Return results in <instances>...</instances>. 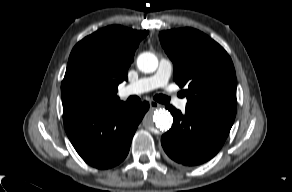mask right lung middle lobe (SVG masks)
<instances>
[{
    "mask_svg": "<svg viewBox=\"0 0 292 192\" xmlns=\"http://www.w3.org/2000/svg\"><path fill=\"white\" fill-rule=\"evenodd\" d=\"M98 93L97 85L83 76L72 79L67 88L68 100L77 107L89 105Z\"/></svg>",
    "mask_w": 292,
    "mask_h": 192,
    "instance_id": "1",
    "label": "right lung middle lobe"
}]
</instances>
